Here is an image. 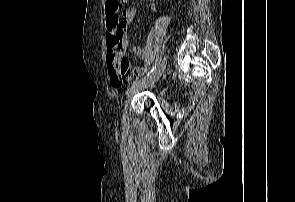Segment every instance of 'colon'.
Segmentation results:
<instances>
[{
  "instance_id": "1",
  "label": "colon",
  "mask_w": 295,
  "mask_h": 202,
  "mask_svg": "<svg viewBox=\"0 0 295 202\" xmlns=\"http://www.w3.org/2000/svg\"><path fill=\"white\" fill-rule=\"evenodd\" d=\"M121 0H106V14L112 15V18L108 20L107 27L109 29L117 28L120 25V18L118 15V10L121 5ZM110 38L116 40L117 35L115 32H111ZM129 63V62H128ZM122 75H114L113 77H121Z\"/></svg>"
}]
</instances>
